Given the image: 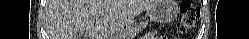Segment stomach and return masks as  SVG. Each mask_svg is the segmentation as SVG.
Here are the masks:
<instances>
[{
    "label": "stomach",
    "instance_id": "stomach-1",
    "mask_svg": "<svg viewBox=\"0 0 249 39\" xmlns=\"http://www.w3.org/2000/svg\"><path fill=\"white\" fill-rule=\"evenodd\" d=\"M175 12L176 3L174 0H157L156 3L148 9L147 15L152 22L166 24L173 20Z\"/></svg>",
    "mask_w": 249,
    "mask_h": 39
}]
</instances>
